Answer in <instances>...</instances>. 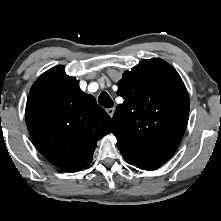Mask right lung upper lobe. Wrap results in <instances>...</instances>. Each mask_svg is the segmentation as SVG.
<instances>
[{"mask_svg":"<svg viewBox=\"0 0 221 221\" xmlns=\"http://www.w3.org/2000/svg\"><path fill=\"white\" fill-rule=\"evenodd\" d=\"M29 133L40 153L56 167L78 171L92 161L98 140L111 131V118L76 78L55 66L34 83L25 111Z\"/></svg>","mask_w":221,"mask_h":221,"instance_id":"1","label":"right lung upper lobe"}]
</instances>
